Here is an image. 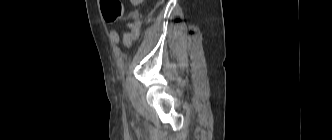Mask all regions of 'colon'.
Here are the masks:
<instances>
[{
  "mask_svg": "<svg viewBox=\"0 0 332 140\" xmlns=\"http://www.w3.org/2000/svg\"><path fill=\"white\" fill-rule=\"evenodd\" d=\"M100 6L104 19L109 23L117 22L123 16L124 7L120 0H100Z\"/></svg>",
  "mask_w": 332,
  "mask_h": 140,
  "instance_id": "1",
  "label": "colon"
}]
</instances>
